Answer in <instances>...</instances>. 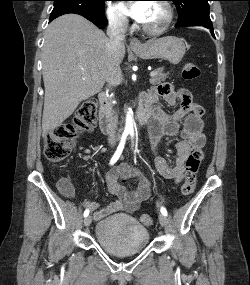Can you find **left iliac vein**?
I'll list each match as a JSON object with an SVG mask.
<instances>
[{
	"label": "left iliac vein",
	"instance_id": "4c4485c4",
	"mask_svg": "<svg viewBox=\"0 0 250 285\" xmlns=\"http://www.w3.org/2000/svg\"><path fill=\"white\" fill-rule=\"evenodd\" d=\"M159 222H160L161 226L166 227L168 224V219L165 215L159 214Z\"/></svg>",
	"mask_w": 250,
	"mask_h": 285
}]
</instances>
